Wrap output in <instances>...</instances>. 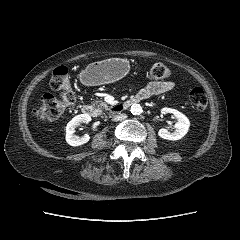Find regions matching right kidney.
Listing matches in <instances>:
<instances>
[{
    "label": "right kidney",
    "instance_id": "right-kidney-1",
    "mask_svg": "<svg viewBox=\"0 0 240 240\" xmlns=\"http://www.w3.org/2000/svg\"><path fill=\"white\" fill-rule=\"evenodd\" d=\"M91 116L89 114H79L75 116L66 126V142L71 146H80L87 143L90 139L88 134L82 137L75 135V128L80 123H89Z\"/></svg>",
    "mask_w": 240,
    "mask_h": 240
}]
</instances>
